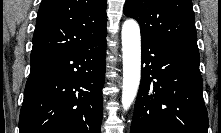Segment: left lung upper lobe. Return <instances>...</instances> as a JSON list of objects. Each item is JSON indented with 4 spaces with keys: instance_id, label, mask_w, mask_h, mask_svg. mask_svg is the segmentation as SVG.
Segmentation results:
<instances>
[{
    "instance_id": "1",
    "label": "left lung upper lobe",
    "mask_w": 221,
    "mask_h": 133,
    "mask_svg": "<svg viewBox=\"0 0 221 133\" xmlns=\"http://www.w3.org/2000/svg\"><path fill=\"white\" fill-rule=\"evenodd\" d=\"M124 14L138 21L141 37L198 50L191 0H126Z\"/></svg>"
}]
</instances>
